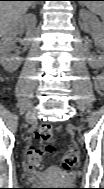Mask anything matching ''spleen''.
<instances>
[{
  "mask_svg": "<svg viewBox=\"0 0 104 189\" xmlns=\"http://www.w3.org/2000/svg\"><path fill=\"white\" fill-rule=\"evenodd\" d=\"M86 7L93 13H103V2L102 1H85Z\"/></svg>",
  "mask_w": 104,
  "mask_h": 189,
  "instance_id": "3e777b00",
  "label": "spleen"
}]
</instances>
